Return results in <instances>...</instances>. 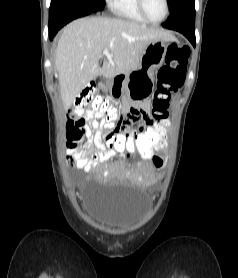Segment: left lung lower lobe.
I'll return each mask as SVG.
<instances>
[{
  "label": "left lung lower lobe",
  "mask_w": 238,
  "mask_h": 278,
  "mask_svg": "<svg viewBox=\"0 0 238 278\" xmlns=\"http://www.w3.org/2000/svg\"><path fill=\"white\" fill-rule=\"evenodd\" d=\"M163 27L182 33L195 46V0L178 4Z\"/></svg>",
  "instance_id": "1"
}]
</instances>
